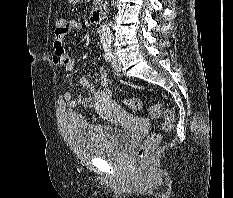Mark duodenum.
I'll list each match as a JSON object with an SVG mask.
<instances>
[{"label": "duodenum", "mask_w": 233, "mask_h": 198, "mask_svg": "<svg viewBox=\"0 0 233 198\" xmlns=\"http://www.w3.org/2000/svg\"><path fill=\"white\" fill-rule=\"evenodd\" d=\"M104 17L103 7H96L90 14L89 21L91 24H99Z\"/></svg>", "instance_id": "410a0bca"}]
</instances>
